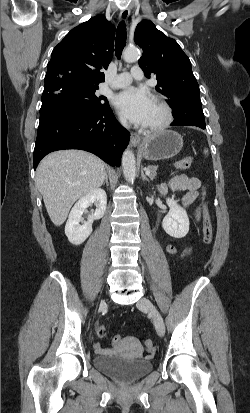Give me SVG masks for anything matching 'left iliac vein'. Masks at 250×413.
<instances>
[{"label":"left iliac vein","mask_w":250,"mask_h":413,"mask_svg":"<svg viewBox=\"0 0 250 413\" xmlns=\"http://www.w3.org/2000/svg\"><path fill=\"white\" fill-rule=\"evenodd\" d=\"M137 307L141 310L147 311L151 315L157 333L160 336H163L165 333L164 321L160 312L156 309L153 303L149 299L143 297L137 302Z\"/></svg>","instance_id":"1"}]
</instances>
